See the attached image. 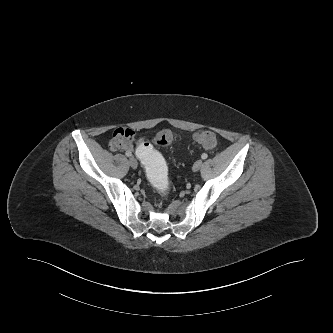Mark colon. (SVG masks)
<instances>
[{"instance_id": "obj_1", "label": "colon", "mask_w": 333, "mask_h": 333, "mask_svg": "<svg viewBox=\"0 0 333 333\" xmlns=\"http://www.w3.org/2000/svg\"><path fill=\"white\" fill-rule=\"evenodd\" d=\"M176 134L171 130H163L153 137L156 146L166 147L176 139ZM196 143L204 148L211 149L216 145V137L212 131L202 130L193 135ZM146 140L140 139L136 145V155L140 162L145 165L143 175L148 184L153 185L157 192L166 193L170 189L168 171L164 161V155L157 147Z\"/></svg>"}]
</instances>
